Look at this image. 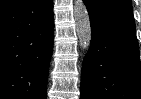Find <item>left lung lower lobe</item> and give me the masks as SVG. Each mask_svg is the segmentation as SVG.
<instances>
[{"label":"left lung lower lobe","mask_w":141,"mask_h":99,"mask_svg":"<svg viewBox=\"0 0 141 99\" xmlns=\"http://www.w3.org/2000/svg\"><path fill=\"white\" fill-rule=\"evenodd\" d=\"M92 39L81 99H141V64L130 0H84Z\"/></svg>","instance_id":"0a47b994"}]
</instances>
